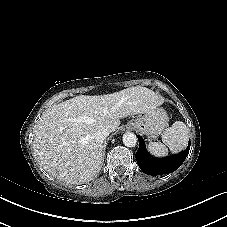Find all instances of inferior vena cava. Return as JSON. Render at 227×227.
<instances>
[{
    "instance_id": "1",
    "label": "inferior vena cava",
    "mask_w": 227,
    "mask_h": 227,
    "mask_svg": "<svg viewBox=\"0 0 227 227\" xmlns=\"http://www.w3.org/2000/svg\"><path fill=\"white\" fill-rule=\"evenodd\" d=\"M109 134L110 132L108 129L102 128L94 133V138L99 142H103Z\"/></svg>"
}]
</instances>
